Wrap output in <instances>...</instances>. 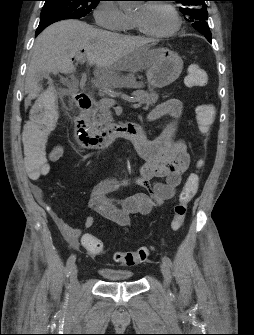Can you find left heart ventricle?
Wrapping results in <instances>:
<instances>
[{
	"instance_id": "b2bd125f",
	"label": "left heart ventricle",
	"mask_w": 254,
	"mask_h": 335,
	"mask_svg": "<svg viewBox=\"0 0 254 335\" xmlns=\"http://www.w3.org/2000/svg\"><path fill=\"white\" fill-rule=\"evenodd\" d=\"M133 18L149 32L162 33L170 30L174 25L172 13L162 5L142 4Z\"/></svg>"
}]
</instances>
